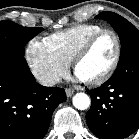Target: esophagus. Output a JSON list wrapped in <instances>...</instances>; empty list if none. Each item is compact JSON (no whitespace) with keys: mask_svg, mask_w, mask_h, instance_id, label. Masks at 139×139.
Returning a JSON list of instances; mask_svg holds the SVG:
<instances>
[{"mask_svg":"<svg viewBox=\"0 0 139 139\" xmlns=\"http://www.w3.org/2000/svg\"><path fill=\"white\" fill-rule=\"evenodd\" d=\"M65 92H66V96L67 97H71L73 95V93H74V90L71 89V88H66Z\"/></svg>","mask_w":139,"mask_h":139,"instance_id":"esophagus-1","label":"esophagus"}]
</instances>
